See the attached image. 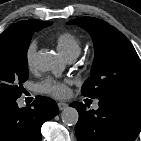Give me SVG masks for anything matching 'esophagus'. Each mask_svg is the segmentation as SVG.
<instances>
[{"label":"esophagus","mask_w":141,"mask_h":141,"mask_svg":"<svg viewBox=\"0 0 141 141\" xmlns=\"http://www.w3.org/2000/svg\"><path fill=\"white\" fill-rule=\"evenodd\" d=\"M58 108H59V110H65L66 108H68V104L67 103H65V102H59L58 103Z\"/></svg>","instance_id":"1"}]
</instances>
